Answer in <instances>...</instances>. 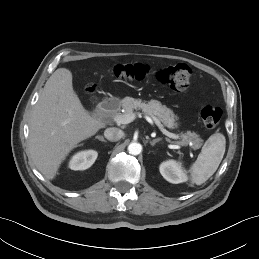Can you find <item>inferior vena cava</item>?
<instances>
[{
  "label": "inferior vena cava",
  "instance_id": "1",
  "mask_svg": "<svg viewBox=\"0 0 259 259\" xmlns=\"http://www.w3.org/2000/svg\"><path fill=\"white\" fill-rule=\"evenodd\" d=\"M124 133L121 129L112 127V128H107L104 131V136L107 138L109 141H118L123 137Z\"/></svg>",
  "mask_w": 259,
  "mask_h": 259
}]
</instances>
